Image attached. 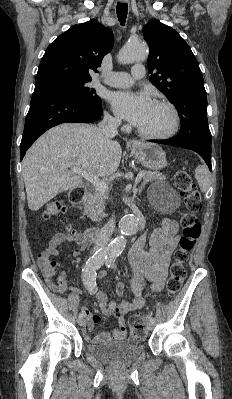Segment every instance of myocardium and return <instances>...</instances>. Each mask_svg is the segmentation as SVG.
<instances>
[{
    "label": "myocardium",
    "mask_w": 232,
    "mask_h": 399,
    "mask_svg": "<svg viewBox=\"0 0 232 399\" xmlns=\"http://www.w3.org/2000/svg\"><path fill=\"white\" fill-rule=\"evenodd\" d=\"M153 103L157 104V105L165 106L170 110V112L172 114L171 128L167 132L160 134V135H148V134H145V133L139 131L137 128L135 129V133L137 134L138 137H140L141 139H143L145 141H164V140H167V139L173 137L178 132V130L180 128V115H179V112H178L176 106L168 101L155 100Z\"/></svg>",
    "instance_id": "myocardium-1"
}]
</instances>
